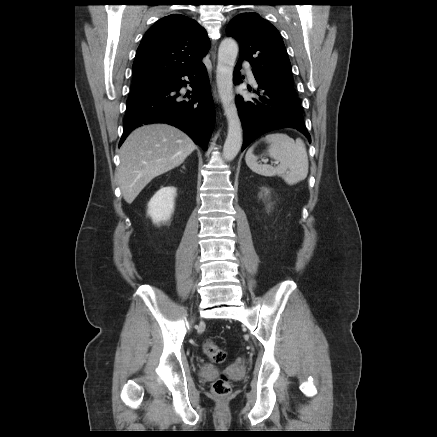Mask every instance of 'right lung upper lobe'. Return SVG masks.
<instances>
[{"instance_id":"cb5924a9","label":"right lung upper lobe","mask_w":437,"mask_h":437,"mask_svg":"<svg viewBox=\"0 0 437 437\" xmlns=\"http://www.w3.org/2000/svg\"><path fill=\"white\" fill-rule=\"evenodd\" d=\"M210 48L206 31L193 19L172 14L145 33L132 67L133 82L167 80L201 62Z\"/></svg>"}]
</instances>
